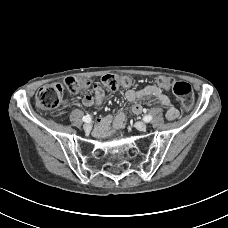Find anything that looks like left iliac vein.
<instances>
[{
    "mask_svg": "<svg viewBox=\"0 0 228 228\" xmlns=\"http://www.w3.org/2000/svg\"><path fill=\"white\" fill-rule=\"evenodd\" d=\"M135 127L136 129H138L139 131H145L147 129V124L144 122H136L135 123Z\"/></svg>",
    "mask_w": 228,
    "mask_h": 228,
    "instance_id": "4c4485c4",
    "label": "left iliac vein"
}]
</instances>
